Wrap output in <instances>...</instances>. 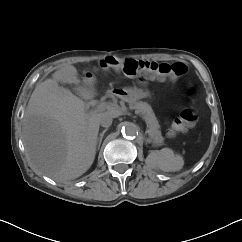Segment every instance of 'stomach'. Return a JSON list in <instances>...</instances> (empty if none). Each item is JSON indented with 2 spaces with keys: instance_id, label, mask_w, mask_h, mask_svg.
<instances>
[{
  "instance_id": "1",
  "label": "stomach",
  "mask_w": 242,
  "mask_h": 242,
  "mask_svg": "<svg viewBox=\"0 0 242 242\" xmlns=\"http://www.w3.org/2000/svg\"><path fill=\"white\" fill-rule=\"evenodd\" d=\"M114 95L118 96L126 102H136L140 99L151 97V92L148 89L138 87H126L115 91Z\"/></svg>"
}]
</instances>
